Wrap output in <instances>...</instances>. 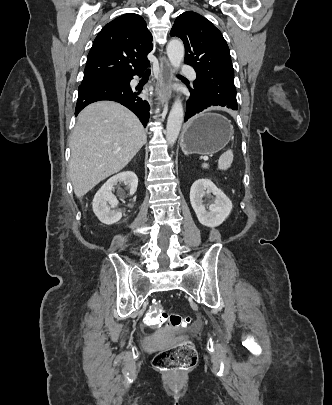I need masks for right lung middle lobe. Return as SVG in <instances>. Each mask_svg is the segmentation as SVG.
<instances>
[{
    "mask_svg": "<svg viewBox=\"0 0 332 405\" xmlns=\"http://www.w3.org/2000/svg\"><path fill=\"white\" fill-rule=\"evenodd\" d=\"M103 78H117V77L110 76V77H103ZM94 79H98V78H94ZM90 80H93V79H86V78L84 77L82 83H83V82H86V81H90Z\"/></svg>",
    "mask_w": 332,
    "mask_h": 405,
    "instance_id": "right-lung-middle-lobe-1",
    "label": "right lung middle lobe"
}]
</instances>
